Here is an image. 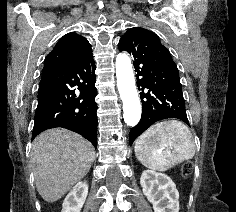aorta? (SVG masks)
Returning <instances> with one entry per match:
<instances>
[{
  "instance_id": "aorta-1",
  "label": "aorta",
  "mask_w": 236,
  "mask_h": 212,
  "mask_svg": "<svg viewBox=\"0 0 236 212\" xmlns=\"http://www.w3.org/2000/svg\"><path fill=\"white\" fill-rule=\"evenodd\" d=\"M115 66L118 91L123 102V118L128 126H135L141 118V104L129 56L126 53L118 54Z\"/></svg>"
}]
</instances>
